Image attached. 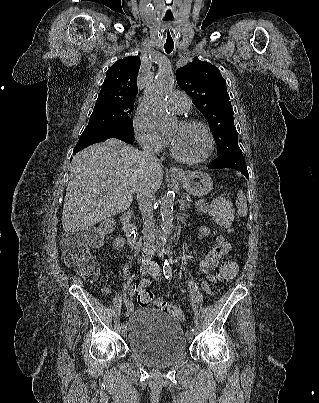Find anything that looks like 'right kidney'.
I'll list each match as a JSON object with an SVG mask.
<instances>
[{
    "instance_id": "right-kidney-1",
    "label": "right kidney",
    "mask_w": 319,
    "mask_h": 403,
    "mask_svg": "<svg viewBox=\"0 0 319 403\" xmlns=\"http://www.w3.org/2000/svg\"><path fill=\"white\" fill-rule=\"evenodd\" d=\"M124 244H125V239L122 237H117L113 242L114 249H117V250H119L121 247H123Z\"/></svg>"
}]
</instances>
